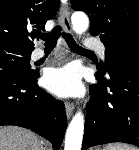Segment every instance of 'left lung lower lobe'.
Instances as JSON below:
<instances>
[{"instance_id":"1","label":"left lung lower lobe","mask_w":139,"mask_h":150,"mask_svg":"<svg viewBox=\"0 0 139 150\" xmlns=\"http://www.w3.org/2000/svg\"><path fill=\"white\" fill-rule=\"evenodd\" d=\"M91 87L82 150L125 142L139 147V42L120 50Z\"/></svg>"}]
</instances>
